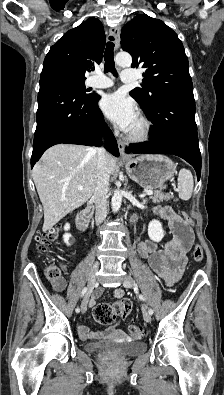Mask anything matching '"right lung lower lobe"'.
Instances as JSON below:
<instances>
[{
  "instance_id": "obj_1",
  "label": "right lung lower lobe",
  "mask_w": 224,
  "mask_h": 395,
  "mask_svg": "<svg viewBox=\"0 0 224 395\" xmlns=\"http://www.w3.org/2000/svg\"><path fill=\"white\" fill-rule=\"evenodd\" d=\"M99 99L97 94L80 97L52 81L40 82L31 167L53 145L98 146L101 135L106 136L107 150L118 157L116 139L97 106Z\"/></svg>"
}]
</instances>
